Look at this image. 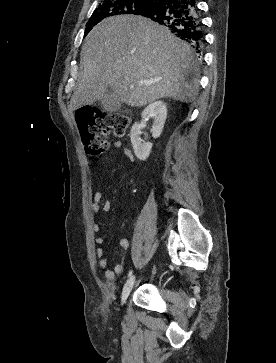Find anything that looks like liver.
I'll list each match as a JSON object with an SVG mask.
<instances>
[{"instance_id": "obj_1", "label": "liver", "mask_w": 276, "mask_h": 363, "mask_svg": "<svg viewBox=\"0 0 276 363\" xmlns=\"http://www.w3.org/2000/svg\"><path fill=\"white\" fill-rule=\"evenodd\" d=\"M81 60L72 110L101 100L109 87L132 107L164 97L187 103L198 94L194 51L167 28L141 16L109 17L96 25L82 45Z\"/></svg>"}]
</instances>
